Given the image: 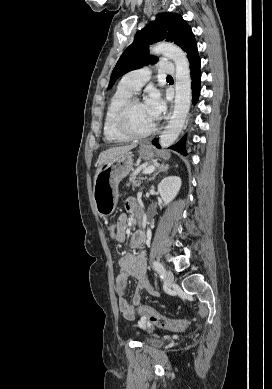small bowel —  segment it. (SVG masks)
<instances>
[{"label":"small bowel","mask_w":272,"mask_h":389,"mask_svg":"<svg viewBox=\"0 0 272 389\" xmlns=\"http://www.w3.org/2000/svg\"><path fill=\"white\" fill-rule=\"evenodd\" d=\"M126 209L134 216L140 215V206L135 199H128L126 202ZM128 218L125 214H121L116 223L118 234L115 240L123 242L126 237ZM144 240L143 231H137L131 237V248L133 253H128L122 256L119 260V274L115 280V290L117 295L118 307L124 318L133 320L136 315V309L141 305V291L146 289L149 293L157 295L155 285L149 281L147 274V264L144 254L141 252V246ZM130 278H135L137 285L132 295V304L125 298V290L128 286Z\"/></svg>","instance_id":"c3829d8e"}]
</instances>
